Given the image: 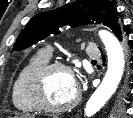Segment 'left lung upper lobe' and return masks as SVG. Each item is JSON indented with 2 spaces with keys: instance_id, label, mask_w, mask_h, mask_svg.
Masks as SVG:
<instances>
[{
  "instance_id": "obj_1",
  "label": "left lung upper lobe",
  "mask_w": 133,
  "mask_h": 118,
  "mask_svg": "<svg viewBox=\"0 0 133 118\" xmlns=\"http://www.w3.org/2000/svg\"><path fill=\"white\" fill-rule=\"evenodd\" d=\"M93 23H103L112 30L119 25L117 11L109 0H76L61 8L35 15L20 32L13 50H23L50 34H58L59 28L64 25L77 27ZM126 95L127 88L116 95L112 102L114 113L123 112Z\"/></svg>"
}]
</instances>
